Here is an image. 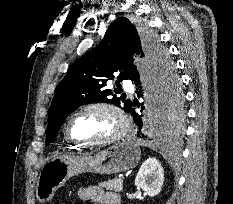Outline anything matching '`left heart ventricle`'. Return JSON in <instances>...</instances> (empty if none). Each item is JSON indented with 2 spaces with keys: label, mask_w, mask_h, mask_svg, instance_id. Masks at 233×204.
Segmentation results:
<instances>
[{
  "label": "left heart ventricle",
  "mask_w": 233,
  "mask_h": 204,
  "mask_svg": "<svg viewBox=\"0 0 233 204\" xmlns=\"http://www.w3.org/2000/svg\"><path fill=\"white\" fill-rule=\"evenodd\" d=\"M117 128L118 122L110 112L90 110L73 119L70 132L75 138L96 141L109 137Z\"/></svg>",
  "instance_id": "1"
}]
</instances>
